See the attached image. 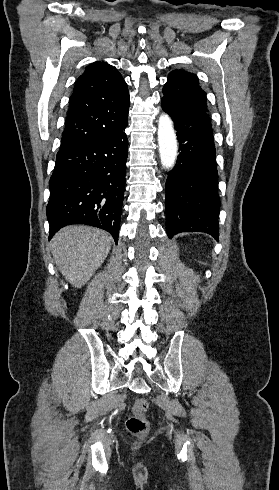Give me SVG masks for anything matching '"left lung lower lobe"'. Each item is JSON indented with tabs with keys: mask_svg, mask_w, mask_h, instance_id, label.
<instances>
[{
	"mask_svg": "<svg viewBox=\"0 0 279 490\" xmlns=\"http://www.w3.org/2000/svg\"><path fill=\"white\" fill-rule=\"evenodd\" d=\"M161 105L175 121L180 150L166 180L167 235L204 232L218 241L220 199L210 117L164 97Z\"/></svg>",
	"mask_w": 279,
	"mask_h": 490,
	"instance_id": "0a47b994",
	"label": "left lung lower lobe"
}]
</instances>
